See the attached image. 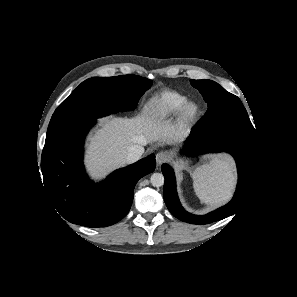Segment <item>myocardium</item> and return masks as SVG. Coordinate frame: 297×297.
Returning a JSON list of instances; mask_svg holds the SVG:
<instances>
[{
	"label": "myocardium",
	"instance_id": "f54148a6",
	"mask_svg": "<svg viewBox=\"0 0 297 297\" xmlns=\"http://www.w3.org/2000/svg\"><path fill=\"white\" fill-rule=\"evenodd\" d=\"M201 114L199 105L196 102L188 101L178 112L177 125L179 129L182 131L190 130L197 123Z\"/></svg>",
	"mask_w": 297,
	"mask_h": 297
}]
</instances>
